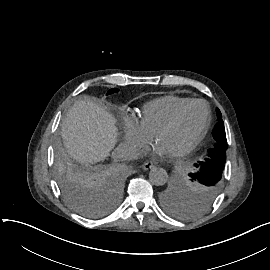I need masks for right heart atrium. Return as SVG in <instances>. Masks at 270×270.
<instances>
[{
	"label": "right heart atrium",
	"instance_id": "right-heart-atrium-1",
	"mask_svg": "<svg viewBox=\"0 0 270 270\" xmlns=\"http://www.w3.org/2000/svg\"><path fill=\"white\" fill-rule=\"evenodd\" d=\"M152 135L142 131L139 126L129 118L124 119L123 137L122 139H129L133 141L139 152L151 141Z\"/></svg>",
	"mask_w": 270,
	"mask_h": 270
}]
</instances>
